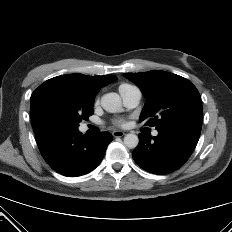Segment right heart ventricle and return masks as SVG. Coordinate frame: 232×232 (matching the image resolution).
<instances>
[{
	"label": "right heart ventricle",
	"mask_w": 232,
	"mask_h": 232,
	"mask_svg": "<svg viewBox=\"0 0 232 232\" xmlns=\"http://www.w3.org/2000/svg\"><path fill=\"white\" fill-rule=\"evenodd\" d=\"M136 88L135 86L131 85V84H128V83H122L120 86H119V92L120 94L122 93H125V92H128L132 89Z\"/></svg>",
	"instance_id": "right-heart-ventricle-1"
}]
</instances>
